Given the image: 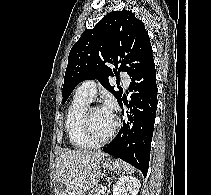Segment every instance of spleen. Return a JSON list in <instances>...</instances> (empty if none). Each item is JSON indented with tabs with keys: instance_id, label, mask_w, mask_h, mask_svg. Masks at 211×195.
I'll return each instance as SVG.
<instances>
[{
	"instance_id": "3e777b00",
	"label": "spleen",
	"mask_w": 211,
	"mask_h": 195,
	"mask_svg": "<svg viewBox=\"0 0 211 195\" xmlns=\"http://www.w3.org/2000/svg\"><path fill=\"white\" fill-rule=\"evenodd\" d=\"M124 169H125V172L129 174L134 172V168L129 164L125 165Z\"/></svg>"
}]
</instances>
